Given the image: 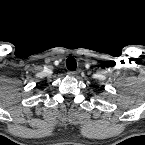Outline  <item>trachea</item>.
I'll use <instances>...</instances> for the list:
<instances>
[{"instance_id": "trachea-1", "label": "trachea", "mask_w": 145, "mask_h": 145, "mask_svg": "<svg viewBox=\"0 0 145 145\" xmlns=\"http://www.w3.org/2000/svg\"><path fill=\"white\" fill-rule=\"evenodd\" d=\"M66 66H67L68 70L75 71L77 68L76 60L73 57H69L66 60Z\"/></svg>"}]
</instances>
